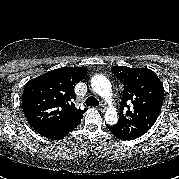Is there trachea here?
Wrapping results in <instances>:
<instances>
[{
	"label": "trachea",
	"mask_w": 179,
	"mask_h": 179,
	"mask_svg": "<svg viewBox=\"0 0 179 179\" xmlns=\"http://www.w3.org/2000/svg\"><path fill=\"white\" fill-rule=\"evenodd\" d=\"M85 103H86L87 106H94V107H96V106L99 105V101L95 97H93V96L88 97L86 99Z\"/></svg>",
	"instance_id": "1"
}]
</instances>
